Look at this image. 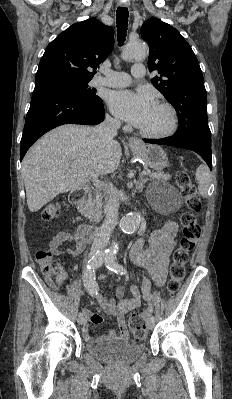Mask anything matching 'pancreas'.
Masks as SVG:
<instances>
[{"instance_id":"pancreas-1","label":"pancreas","mask_w":232,"mask_h":399,"mask_svg":"<svg viewBox=\"0 0 232 399\" xmlns=\"http://www.w3.org/2000/svg\"><path fill=\"white\" fill-rule=\"evenodd\" d=\"M149 180H170V174H164V172H152L147 174ZM143 177V176H142ZM146 184V183H145ZM96 194H88L87 200L84 201V205H80L79 209L82 215L89 217L91 221H100L102 219V200L103 196L99 190H95Z\"/></svg>"}]
</instances>
